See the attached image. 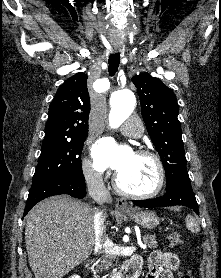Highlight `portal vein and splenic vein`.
I'll list each match as a JSON object with an SVG mask.
<instances>
[{
	"label": "portal vein and splenic vein",
	"mask_w": 221,
	"mask_h": 278,
	"mask_svg": "<svg viewBox=\"0 0 221 278\" xmlns=\"http://www.w3.org/2000/svg\"><path fill=\"white\" fill-rule=\"evenodd\" d=\"M142 247H143V248H146V245H143Z\"/></svg>",
	"instance_id": "portal-vein-and-splenic-vein-1"
}]
</instances>
